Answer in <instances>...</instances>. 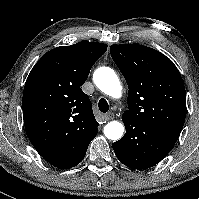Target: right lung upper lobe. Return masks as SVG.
<instances>
[{
	"label": "right lung upper lobe",
	"instance_id": "cb5924a9",
	"mask_svg": "<svg viewBox=\"0 0 199 199\" xmlns=\"http://www.w3.org/2000/svg\"><path fill=\"white\" fill-rule=\"evenodd\" d=\"M107 50L98 42H79L45 53L26 80L22 108L26 133L50 164L68 169L87 151L98 132L92 104L80 88Z\"/></svg>",
	"mask_w": 199,
	"mask_h": 199
}]
</instances>
